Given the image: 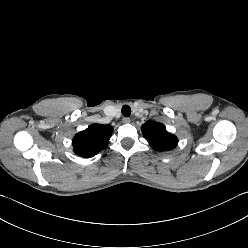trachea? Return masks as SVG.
<instances>
[{
  "mask_svg": "<svg viewBox=\"0 0 248 248\" xmlns=\"http://www.w3.org/2000/svg\"><path fill=\"white\" fill-rule=\"evenodd\" d=\"M122 114L125 117H129L131 115V108L128 105H124L122 107Z\"/></svg>",
  "mask_w": 248,
  "mask_h": 248,
  "instance_id": "obj_1",
  "label": "trachea"
}]
</instances>
